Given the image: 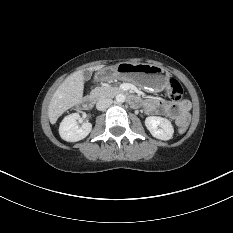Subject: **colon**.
Segmentation results:
<instances>
[{"label":"colon","instance_id":"5ec220e1","mask_svg":"<svg viewBox=\"0 0 233 233\" xmlns=\"http://www.w3.org/2000/svg\"><path fill=\"white\" fill-rule=\"evenodd\" d=\"M167 95L172 101H180L183 96V87L179 81L172 79L167 85ZM187 129V124L179 127V132L183 133Z\"/></svg>","mask_w":233,"mask_h":233}]
</instances>
